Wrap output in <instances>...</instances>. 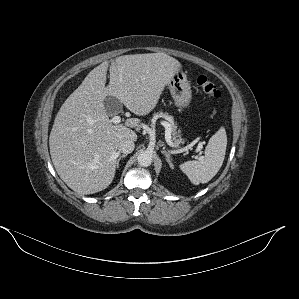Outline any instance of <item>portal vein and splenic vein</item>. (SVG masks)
Wrapping results in <instances>:
<instances>
[{
	"label": "portal vein and splenic vein",
	"instance_id": "obj_1",
	"mask_svg": "<svg viewBox=\"0 0 299 299\" xmlns=\"http://www.w3.org/2000/svg\"><path fill=\"white\" fill-rule=\"evenodd\" d=\"M111 122H113L114 124H119V123L121 122V118H120V116H118V115L113 116V118L111 119ZM162 124H163V126L165 127V129H166V132H165V138H166L167 143H168L170 146H174L173 142L171 141V126H170V124H168V123H166V122H164V123H162ZM201 148H202V146L199 145L196 151H200ZM186 149H187V148H186ZM200 158H201V157H200ZM200 158H199V159H200Z\"/></svg>",
	"mask_w": 299,
	"mask_h": 299
}]
</instances>
